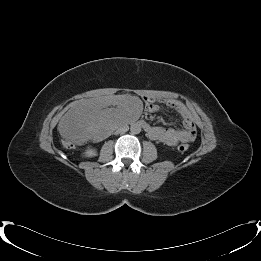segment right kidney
I'll list each match as a JSON object with an SVG mask.
<instances>
[{
	"label": "right kidney",
	"mask_w": 261,
	"mask_h": 261,
	"mask_svg": "<svg viewBox=\"0 0 261 261\" xmlns=\"http://www.w3.org/2000/svg\"><path fill=\"white\" fill-rule=\"evenodd\" d=\"M95 154H96V150L92 149V148H89V149L85 150V152H84L85 157H91V156H94Z\"/></svg>",
	"instance_id": "obj_1"
}]
</instances>
